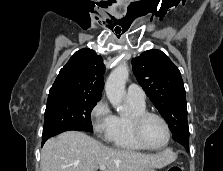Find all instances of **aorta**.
I'll use <instances>...</instances> for the list:
<instances>
[{
  "label": "aorta",
  "mask_w": 223,
  "mask_h": 171,
  "mask_svg": "<svg viewBox=\"0 0 223 171\" xmlns=\"http://www.w3.org/2000/svg\"><path fill=\"white\" fill-rule=\"evenodd\" d=\"M129 76L128 67L124 64L116 67L109 75L105 91L108 100L118 112H124L126 107L122 105L125 96V84Z\"/></svg>",
  "instance_id": "1"
}]
</instances>
